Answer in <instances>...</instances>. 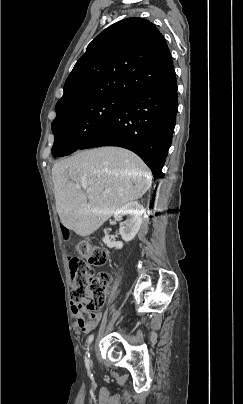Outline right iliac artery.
I'll return each mask as SVG.
<instances>
[{"mask_svg":"<svg viewBox=\"0 0 243 404\" xmlns=\"http://www.w3.org/2000/svg\"><path fill=\"white\" fill-rule=\"evenodd\" d=\"M94 339V335L91 334L88 339H87V343L90 344ZM85 365L87 368L88 373L90 374V354L87 352L85 355Z\"/></svg>","mask_w":243,"mask_h":404,"instance_id":"1","label":"right iliac artery"}]
</instances>
